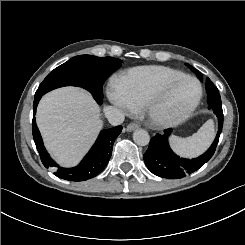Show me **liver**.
Instances as JSON below:
<instances>
[{"label":"liver","instance_id":"1","mask_svg":"<svg viewBox=\"0 0 245 245\" xmlns=\"http://www.w3.org/2000/svg\"><path fill=\"white\" fill-rule=\"evenodd\" d=\"M43 145L62 168L83 160L103 130L100 106L78 86H62L44 94L36 109Z\"/></svg>","mask_w":245,"mask_h":245}]
</instances>
